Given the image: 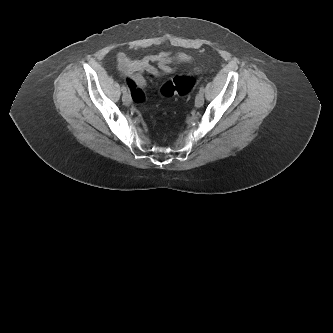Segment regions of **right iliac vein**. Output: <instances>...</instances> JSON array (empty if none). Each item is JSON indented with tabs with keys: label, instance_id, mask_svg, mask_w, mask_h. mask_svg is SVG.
<instances>
[{
	"label": "right iliac vein",
	"instance_id": "63e3f726",
	"mask_svg": "<svg viewBox=\"0 0 333 333\" xmlns=\"http://www.w3.org/2000/svg\"><path fill=\"white\" fill-rule=\"evenodd\" d=\"M122 101H123L124 105L129 106L131 103L130 95L128 93H125L122 97Z\"/></svg>",
	"mask_w": 333,
	"mask_h": 333
}]
</instances>
